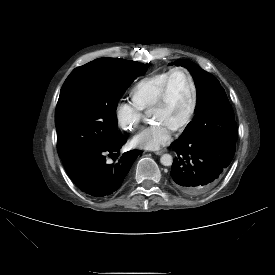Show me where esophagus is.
<instances>
[{"label":"esophagus","mask_w":275,"mask_h":275,"mask_svg":"<svg viewBox=\"0 0 275 275\" xmlns=\"http://www.w3.org/2000/svg\"><path fill=\"white\" fill-rule=\"evenodd\" d=\"M167 150L164 149V150H160V151H156L155 154L156 155H162L163 153H165Z\"/></svg>","instance_id":"obj_1"}]
</instances>
